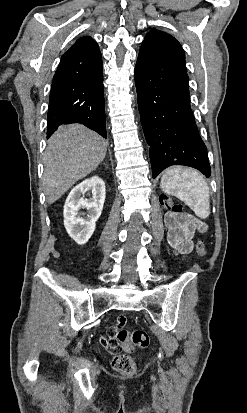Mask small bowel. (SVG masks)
Segmentation results:
<instances>
[{"label":"small bowel","mask_w":247,"mask_h":413,"mask_svg":"<svg viewBox=\"0 0 247 413\" xmlns=\"http://www.w3.org/2000/svg\"><path fill=\"white\" fill-rule=\"evenodd\" d=\"M166 225L168 227V243L176 253L181 255H186L192 251L194 247L192 238L195 230L199 232L206 231V225L202 221L191 218L188 222L178 223L175 215L172 213L167 215ZM128 317V315H118L113 325L114 329H107L105 334H102L100 337L101 347L109 349L111 355H118L120 353V348L115 346L112 338L116 336V331L124 330V324L129 323L127 321Z\"/></svg>","instance_id":"1"}]
</instances>
